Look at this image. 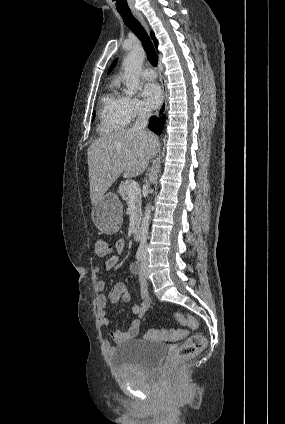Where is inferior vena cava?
I'll return each mask as SVG.
<instances>
[{"label":"inferior vena cava","instance_id":"602c4592","mask_svg":"<svg viewBox=\"0 0 285 424\" xmlns=\"http://www.w3.org/2000/svg\"><path fill=\"white\" fill-rule=\"evenodd\" d=\"M151 117V110L148 108H143L138 115V118L135 122V124L132 127V130L134 131H144L146 129V126L148 124V120ZM144 255L143 260H148V254H147V245L145 244L144 247Z\"/></svg>","mask_w":285,"mask_h":424}]
</instances>
